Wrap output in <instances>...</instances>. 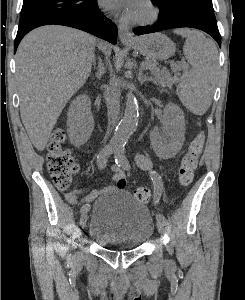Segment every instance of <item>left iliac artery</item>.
Masks as SVG:
<instances>
[{"label": "left iliac artery", "mask_w": 245, "mask_h": 300, "mask_svg": "<svg viewBox=\"0 0 245 300\" xmlns=\"http://www.w3.org/2000/svg\"><path fill=\"white\" fill-rule=\"evenodd\" d=\"M114 157H115V162L118 166L122 167L123 169H130V164L129 161L127 160L126 156H125V152H124V148L122 146H118L116 147L115 151H114ZM151 179L154 183V188H155V196H154V200L156 203H159L162 200V180L161 177L157 174H153L151 176ZM157 220H161L164 223H166V218L158 213L156 215Z\"/></svg>", "instance_id": "left-iliac-artery-1"}]
</instances>
